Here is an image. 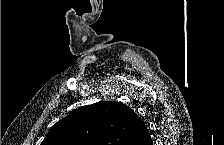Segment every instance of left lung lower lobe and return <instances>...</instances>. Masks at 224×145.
I'll use <instances>...</instances> for the list:
<instances>
[{"mask_svg": "<svg viewBox=\"0 0 224 145\" xmlns=\"http://www.w3.org/2000/svg\"><path fill=\"white\" fill-rule=\"evenodd\" d=\"M134 145H152V139L146 126L142 129Z\"/></svg>", "mask_w": 224, "mask_h": 145, "instance_id": "obj_1", "label": "left lung lower lobe"}]
</instances>
